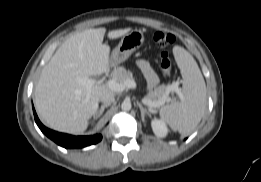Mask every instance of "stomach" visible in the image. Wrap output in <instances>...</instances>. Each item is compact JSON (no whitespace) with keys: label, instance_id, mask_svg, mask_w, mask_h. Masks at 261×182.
Returning <instances> with one entry per match:
<instances>
[{"label":"stomach","instance_id":"0dacf381","mask_svg":"<svg viewBox=\"0 0 261 182\" xmlns=\"http://www.w3.org/2000/svg\"><path fill=\"white\" fill-rule=\"evenodd\" d=\"M144 39V34L141 30H131L124 35L111 53L110 65L116 67L127 60L133 52L143 45Z\"/></svg>","mask_w":261,"mask_h":182}]
</instances>
